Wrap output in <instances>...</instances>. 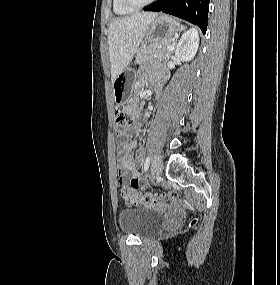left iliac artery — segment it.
Listing matches in <instances>:
<instances>
[{"mask_svg":"<svg viewBox=\"0 0 280 285\" xmlns=\"http://www.w3.org/2000/svg\"><path fill=\"white\" fill-rule=\"evenodd\" d=\"M150 165V156L148 155L144 163V171L146 172Z\"/></svg>","mask_w":280,"mask_h":285,"instance_id":"obj_1","label":"left iliac artery"}]
</instances>
